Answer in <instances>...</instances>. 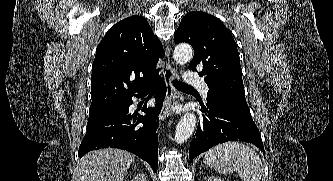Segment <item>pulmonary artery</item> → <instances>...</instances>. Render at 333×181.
<instances>
[{
    "label": "pulmonary artery",
    "instance_id": "obj_1",
    "mask_svg": "<svg viewBox=\"0 0 333 181\" xmlns=\"http://www.w3.org/2000/svg\"><path fill=\"white\" fill-rule=\"evenodd\" d=\"M184 81L191 86L199 87L202 91L203 97H208V87L201 76L194 72H187L184 75Z\"/></svg>",
    "mask_w": 333,
    "mask_h": 181
}]
</instances>
